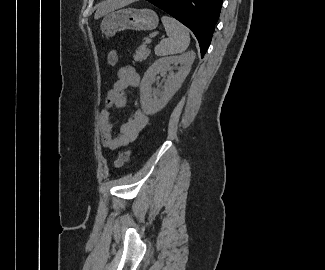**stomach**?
Returning a JSON list of instances; mask_svg holds the SVG:
<instances>
[{"mask_svg": "<svg viewBox=\"0 0 325 270\" xmlns=\"http://www.w3.org/2000/svg\"><path fill=\"white\" fill-rule=\"evenodd\" d=\"M158 16L149 9H121L109 13L101 23L102 33L111 37L118 31L153 30L158 25Z\"/></svg>", "mask_w": 325, "mask_h": 270, "instance_id": "obj_1", "label": "stomach"}]
</instances>
